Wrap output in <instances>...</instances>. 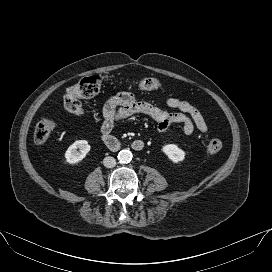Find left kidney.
Wrapping results in <instances>:
<instances>
[{"mask_svg": "<svg viewBox=\"0 0 272 272\" xmlns=\"http://www.w3.org/2000/svg\"><path fill=\"white\" fill-rule=\"evenodd\" d=\"M162 151L173 163L181 162L185 158V152L175 144L164 145Z\"/></svg>", "mask_w": 272, "mask_h": 272, "instance_id": "left-kidney-1", "label": "left kidney"}]
</instances>
